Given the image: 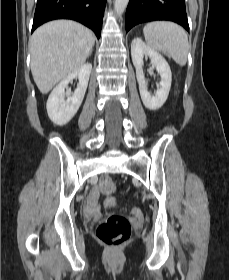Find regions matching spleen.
I'll return each instance as SVG.
<instances>
[{
	"mask_svg": "<svg viewBox=\"0 0 229 280\" xmlns=\"http://www.w3.org/2000/svg\"><path fill=\"white\" fill-rule=\"evenodd\" d=\"M143 32L151 49L170 55L181 66L186 64L189 43L182 27L169 21H153L144 26Z\"/></svg>",
	"mask_w": 229,
	"mask_h": 280,
	"instance_id": "3e777b00",
	"label": "spleen"
}]
</instances>
